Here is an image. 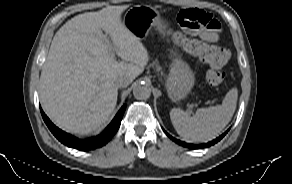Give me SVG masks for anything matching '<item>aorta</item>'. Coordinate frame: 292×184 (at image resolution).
<instances>
[{"label": "aorta", "mask_w": 292, "mask_h": 184, "mask_svg": "<svg viewBox=\"0 0 292 184\" xmlns=\"http://www.w3.org/2000/svg\"><path fill=\"white\" fill-rule=\"evenodd\" d=\"M133 95L138 100H147L151 96V87L144 82H138L133 88Z\"/></svg>", "instance_id": "1"}]
</instances>
